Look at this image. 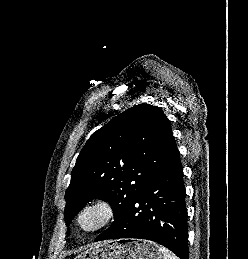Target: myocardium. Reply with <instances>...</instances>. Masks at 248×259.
<instances>
[{
  "instance_id": "f54148a6",
  "label": "myocardium",
  "mask_w": 248,
  "mask_h": 259,
  "mask_svg": "<svg viewBox=\"0 0 248 259\" xmlns=\"http://www.w3.org/2000/svg\"><path fill=\"white\" fill-rule=\"evenodd\" d=\"M93 210H98L101 216L94 225L86 227L83 225L82 219L86 213ZM114 216L115 208L113 204L107 199L96 198L81 206L76 214L75 224L80 232L84 234H92L107 226L112 221Z\"/></svg>"
}]
</instances>
